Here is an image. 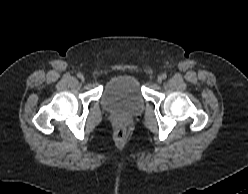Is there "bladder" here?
I'll use <instances>...</instances> for the list:
<instances>
[{
    "label": "bladder",
    "instance_id": "1",
    "mask_svg": "<svg viewBox=\"0 0 248 194\" xmlns=\"http://www.w3.org/2000/svg\"><path fill=\"white\" fill-rule=\"evenodd\" d=\"M104 106L115 112L136 114L144 107V97L139 79L133 74L112 78L102 94Z\"/></svg>",
    "mask_w": 248,
    "mask_h": 194
}]
</instances>
